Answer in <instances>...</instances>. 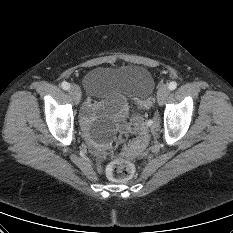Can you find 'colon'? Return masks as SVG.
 Masks as SVG:
<instances>
[{"label":"colon","instance_id":"obj_1","mask_svg":"<svg viewBox=\"0 0 233 233\" xmlns=\"http://www.w3.org/2000/svg\"><path fill=\"white\" fill-rule=\"evenodd\" d=\"M152 100L149 98L140 103L142 110L150 109ZM137 131L136 139L128 146L127 151L132 154L142 152L149 142L148 119L146 115H138L134 120ZM135 172L134 165L126 160L117 159L112 161L106 169L107 176L115 182L126 181L130 179Z\"/></svg>","mask_w":233,"mask_h":233}]
</instances>
